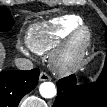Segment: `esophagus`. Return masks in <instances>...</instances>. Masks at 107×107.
Wrapping results in <instances>:
<instances>
[{
  "instance_id": "esophagus-1",
  "label": "esophagus",
  "mask_w": 107,
  "mask_h": 107,
  "mask_svg": "<svg viewBox=\"0 0 107 107\" xmlns=\"http://www.w3.org/2000/svg\"><path fill=\"white\" fill-rule=\"evenodd\" d=\"M39 80L40 81H48V80H50V77L47 73L41 72L39 75Z\"/></svg>"
}]
</instances>
